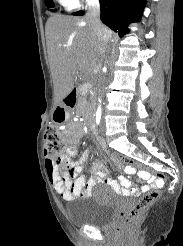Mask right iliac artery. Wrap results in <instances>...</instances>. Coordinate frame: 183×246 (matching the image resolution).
I'll use <instances>...</instances> for the list:
<instances>
[{"instance_id":"1","label":"right iliac artery","mask_w":183,"mask_h":246,"mask_svg":"<svg viewBox=\"0 0 183 246\" xmlns=\"http://www.w3.org/2000/svg\"><path fill=\"white\" fill-rule=\"evenodd\" d=\"M100 120H101V110H98L96 112V123H97V125H99Z\"/></svg>"}]
</instances>
